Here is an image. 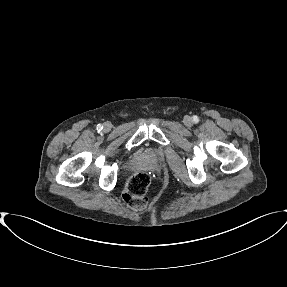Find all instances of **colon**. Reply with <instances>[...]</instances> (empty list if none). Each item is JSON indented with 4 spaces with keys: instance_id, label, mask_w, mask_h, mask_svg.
<instances>
[{
    "instance_id": "1",
    "label": "colon",
    "mask_w": 287,
    "mask_h": 287,
    "mask_svg": "<svg viewBox=\"0 0 287 287\" xmlns=\"http://www.w3.org/2000/svg\"><path fill=\"white\" fill-rule=\"evenodd\" d=\"M150 183L146 172H136L126 182L123 198L127 205L135 210H140L148 205L147 190Z\"/></svg>"
}]
</instances>
